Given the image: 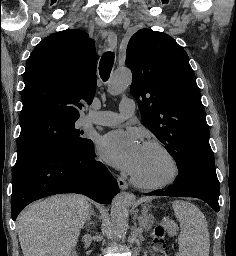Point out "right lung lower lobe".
I'll use <instances>...</instances> for the list:
<instances>
[{
  "label": "right lung lower lobe",
  "mask_w": 236,
  "mask_h": 256,
  "mask_svg": "<svg viewBox=\"0 0 236 256\" xmlns=\"http://www.w3.org/2000/svg\"><path fill=\"white\" fill-rule=\"evenodd\" d=\"M95 156L91 141L81 149L51 147L17 159L12 176V219L29 203L60 193H81L110 204L119 187Z\"/></svg>",
  "instance_id": "right-lung-lower-lobe-1"
}]
</instances>
